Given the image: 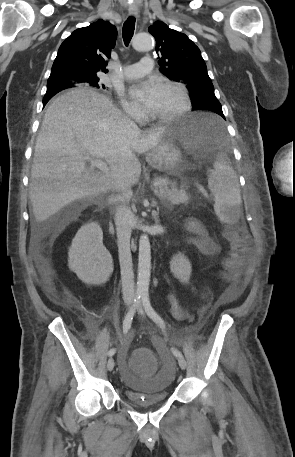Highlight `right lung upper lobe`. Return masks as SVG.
<instances>
[{"instance_id":"1","label":"right lung upper lobe","mask_w":295,"mask_h":457,"mask_svg":"<svg viewBox=\"0 0 295 457\" xmlns=\"http://www.w3.org/2000/svg\"><path fill=\"white\" fill-rule=\"evenodd\" d=\"M117 30L102 19L76 29L60 46L47 85L87 84L98 72H107V58L115 46Z\"/></svg>"}]
</instances>
